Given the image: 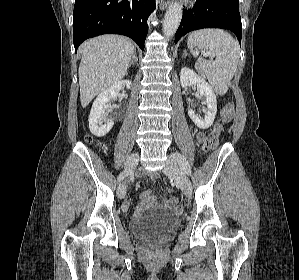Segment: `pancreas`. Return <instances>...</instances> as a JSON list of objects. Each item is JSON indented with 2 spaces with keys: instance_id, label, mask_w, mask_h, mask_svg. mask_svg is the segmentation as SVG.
<instances>
[{
  "instance_id": "1",
  "label": "pancreas",
  "mask_w": 299,
  "mask_h": 280,
  "mask_svg": "<svg viewBox=\"0 0 299 280\" xmlns=\"http://www.w3.org/2000/svg\"><path fill=\"white\" fill-rule=\"evenodd\" d=\"M198 71H199V73H200V74H203V72H202V70H201V69H198Z\"/></svg>"
}]
</instances>
